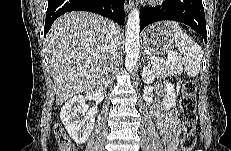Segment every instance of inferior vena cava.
Masks as SVG:
<instances>
[{
    "label": "inferior vena cava",
    "mask_w": 231,
    "mask_h": 151,
    "mask_svg": "<svg viewBox=\"0 0 231 151\" xmlns=\"http://www.w3.org/2000/svg\"><path fill=\"white\" fill-rule=\"evenodd\" d=\"M118 31H120L118 26L112 23V30L109 33L108 45H107V55H108L109 62H111L112 59L115 57L119 46V42L117 41L116 38Z\"/></svg>",
    "instance_id": "inferior-vena-cava-1"
}]
</instances>
